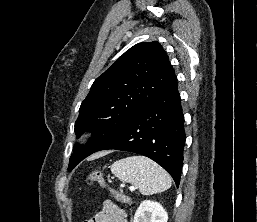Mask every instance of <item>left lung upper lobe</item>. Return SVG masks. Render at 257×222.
I'll return each instance as SVG.
<instances>
[{"label":"left lung upper lobe","mask_w":257,"mask_h":222,"mask_svg":"<svg viewBox=\"0 0 257 222\" xmlns=\"http://www.w3.org/2000/svg\"><path fill=\"white\" fill-rule=\"evenodd\" d=\"M176 77L161 44L154 41L131 47L100 75L79 109L75 133L92 137L76 145L68 170L109 143Z\"/></svg>","instance_id":"obj_1"}]
</instances>
